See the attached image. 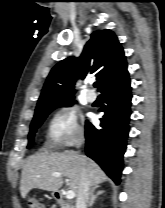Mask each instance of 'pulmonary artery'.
<instances>
[{
  "instance_id": "1",
  "label": "pulmonary artery",
  "mask_w": 165,
  "mask_h": 208,
  "mask_svg": "<svg viewBox=\"0 0 165 208\" xmlns=\"http://www.w3.org/2000/svg\"><path fill=\"white\" fill-rule=\"evenodd\" d=\"M96 99H97V96H96V94H94V93H88V94L86 95V100H87L88 102L93 103V102L96 101Z\"/></svg>"
}]
</instances>
